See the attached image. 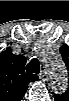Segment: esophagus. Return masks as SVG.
Here are the masks:
<instances>
[{
  "label": "esophagus",
  "instance_id": "obj_1",
  "mask_svg": "<svg viewBox=\"0 0 69 101\" xmlns=\"http://www.w3.org/2000/svg\"><path fill=\"white\" fill-rule=\"evenodd\" d=\"M39 78L42 81H46L47 80V72L45 70L41 71V73L39 74Z\"/></svg>",
  "mask_w": 69,
  "mask_h": 101
}]
</instances>
